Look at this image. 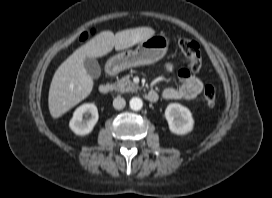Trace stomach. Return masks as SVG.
<instances>
[{
  "label": "stomach",
  "mask_w": 272,
  "mask_h": 198,
  "mask_svg": "<svg viewBox=\"0 0 272 198\" xmlns=\"http://www.w3.org/2000/svg\"><path fill=\"white\" fill-rule=\"evenodd\" d=\"M168 45L166 36H152L140 42L135 50H126L111 57L105 69L109 74H117L131 67L154 64L165 56Z\"/></svg>",
  "instance_id": "0dacf381"
}]
</instances>
